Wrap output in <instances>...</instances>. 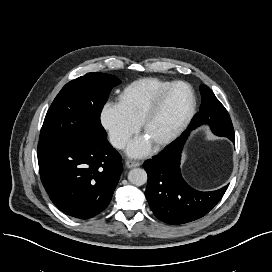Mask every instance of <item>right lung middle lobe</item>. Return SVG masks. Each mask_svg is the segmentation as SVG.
<instances>
[{"instance_id": "obj_1", "label": "right lung middle lobe", "mask_w": 272, "mask_h": 272, "mask_svg": "<svg viewBox=\"0 0 272 272\" xmlns=\"http://www.w3.org/2000/svg\"><path fill=\"white\" fill-rule=\"evenodd\" d=\"M119 83L117 77L97 72L67 83L46 114L39 141L105 139L100 114L111 89Z\"/></svg>"}]
</instances>
